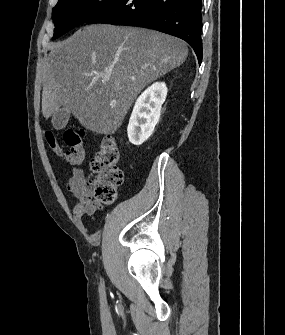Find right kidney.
I'll use <instances>...</instances> for the list:
<instances>
[{
	"instance_id": "1",
	"label": "right kidney",
	"mask_w": 285,
	"mask_h": 335,
	"mask_svg": "<svg viewBox=\"0 0 285 335\" xmlns=\"http://www.w3.org/2000/svg\"><path fill=\"white\" fill-rule=\"evenodd\" d=\"M167 92L164 82H155L137 98L127 128L129 142L134 146H141L150 138L159 122Z\"/></svg>"
}]
</instances>
